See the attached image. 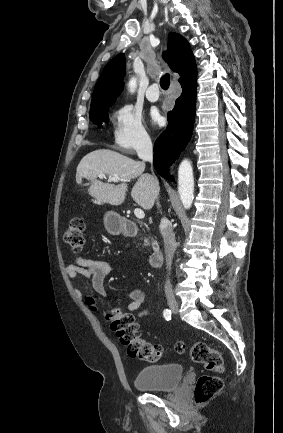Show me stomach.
<instances>
[{"label": "stomach", "instance_id": "0dacf381", "mask_svg": "<svg viewBox=\"0 0 283 433\" xmlns=\"http://www.w3.org/2000/svg\"><path fill=\"white\" fill-rule=\"evenodd\" d=\"M105 217H108V231H111L110 235H120L123 233L126 225L125 217H120L118 212H114V210H109L106 212Z\"/></svg>", "mask_w": 283, "mask_h": 433}]
</instances>
